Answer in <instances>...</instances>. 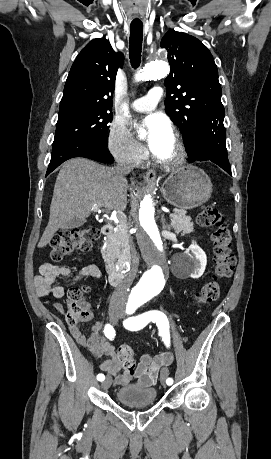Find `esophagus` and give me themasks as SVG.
Masks as SVG:
<instances>
[{"instance_id":"1","label":"esophagus","mask_w":271,"mask_h":459,"mask_svg":"<svg viewBox=\"0 0 271 459\" xmlns=\"http://www.w3.org/2000/svg\"><path fill=\"white\" fill-rule=\"evenodd\" d=\"M145 181L148 185H155L157 181L156 171L153 169L148 170L145 175Z\"/></svg>"}]
</instances>
